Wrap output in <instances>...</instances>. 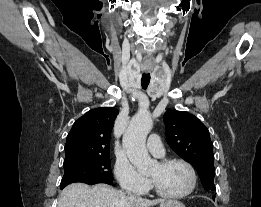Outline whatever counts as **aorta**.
<instances>
[{
	"mask_svg": "<svg viewBox=\"0 0 261 207\" xmlns=\"http://www.w3.org/2000/svg\"><path fill=\"white\" fill-rule=\"evenodd\" d=\"M152 127L149 113H137L123 135V148L139 172L147 171L155 163L146 149V138Z\"/></svg>",
	"mask_w": 261,
	"mask_h": 207,
	"instance_id": "aorta-1",
	"label": "aorta"
}]
</instances>
